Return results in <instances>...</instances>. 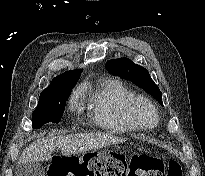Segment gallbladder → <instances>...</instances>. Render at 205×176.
Wrapping results in <instances>:
<instances>
[{"instance_id":"obj_1","label":"gallbladder","mask_w":205,"mask_h":176,"mask_svg":"<svg viewBox=\"0 0 205 176\" xmlns=\"http://www.w3.org/2000/svg\"><path fill=\"white\" fill-rule=\"evenodd\" d=\"M44 167L38 162L20 164L17 167L16 176H43Z\"/></svg>"}]
</instances>
